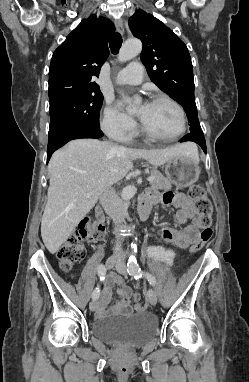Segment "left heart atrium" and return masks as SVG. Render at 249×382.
<instances>
[{"label":"left heart atrium","mask_w":249,"mask_h":382,"mask_svg":"<svg viewBox=\"0 0 249 382\" xmlns=\"http://www.w3.org/2000/svg\"><path fill=\"white\" fill-rule=\"evenodd\" d=\"M148 104H145L143 107H146Z\"/></svg>","instance_id":"left-heart-atrium-1"}]
</instances>
